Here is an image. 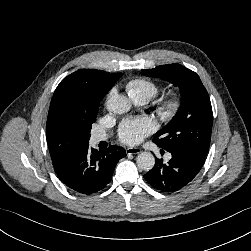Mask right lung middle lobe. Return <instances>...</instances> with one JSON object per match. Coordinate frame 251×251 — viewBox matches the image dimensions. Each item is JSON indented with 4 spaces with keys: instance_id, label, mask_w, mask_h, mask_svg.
<instances>
[{
    "instance_id": "obj_1",
    "label": "right lung middle lobe",
    "mask_w": 251,
    "mask_h": 251,
    "mask_svg": "<svg viewBox=\"0 0 251 251\" xmlns=\"http://www.w3.org/2000/svg\"><path fill=\"white\" fill-rule=\"evenodd\" d=\"M98 108H99L98 106L95 107L92 111H90L89 113H87L84 116V125H85L87 132H88L89 137H90V131L92 128V124L96 121V117L98 114Z\"/></svg>"
}]
</instances>
